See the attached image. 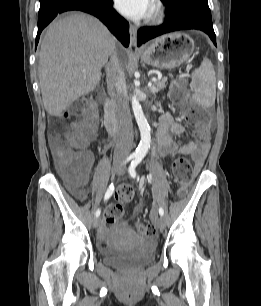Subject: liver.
I'll return each instance as SVG.
<instances>
[{"mask_svg": "<svg viewBox=\"0 0 261 306\" xmlns=\"http://www.w3.org/2000/svg\"><path fill=\"white\" fill-rule=\"evenodd\" d=\"M116 39L95 17L74 13L52 23L39 53V85L48 114L59 116L100 82Z\"/></svg>", "mask_w": 261, "mask_h": 306, "instance_id": "liver-1", "label": "liver"}]
</instances>
